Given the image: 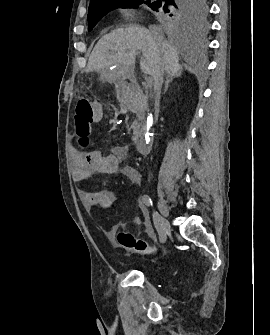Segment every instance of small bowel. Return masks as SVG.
<instances>
[{
    "mask_svg": "<svg viewBox=\"0 0 270 335\" xmlns=\"http://www.w3.org/2000/svg\"><path fill=\"white\" fill-rule=\"evenodd\" d=\"M104 111L99 103L93 104L94 121L103 119ZM126 149L124 147H114L109 154H103L98 150L88 152L75 151L72 156V177L76 182L88 180L93 175H110L122 173L133 185L140 186L142 177L140 172L133 166L125 162ZM78 195L85 210L93 214L94 206L98 205L104 213H109L120 196L107 190H85L79 189ZM140 213L144 219V227L147 233L151 232L149 214L146 207L138 202ZM100 227H102L100 225ZM114 225L111 230L105 231L106 235H112L118 230Z\"/></svg>",
    "mask_w": 270,
    "mask_h": 335,
    "instance_id": "small-bowel-1",
    "label": "small bowel"
}]
</instances>
